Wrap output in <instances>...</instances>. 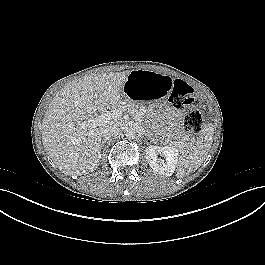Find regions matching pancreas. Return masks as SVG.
I'll return each mask as SVG.
<instances>
[{
    "mask_svg": "<svg viewBox=\"0 0 265 265\" xmlns=\"http://www.w3.org/2000/svg\"><path fill=\"white\" fill-rule=\"evenodd\" d=\"M116 108H121L123 111L129 112L138 122H142L145 118L147 111L144 107L139 106L133 100L125 98L124 100H119L115 104ZM146 135L152 137L153 132L151 130H146Z\"/></svg>",
    "mask_w": 265,
    "mask_h": 265,
    "instance_id": "cf45deb5",
    "label": "pancreas"
}]
</instances>
